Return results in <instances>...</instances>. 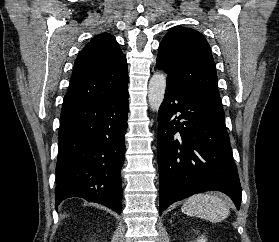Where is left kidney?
<instances>
[{
	"mask_svg": "<svg viewBox=\"0 0 279 242\" xmlns=\"http://www.w3.org/2000/svg\"><path fill=\"white\" fill-rule=\"evenodd\" d=\"M195 242H206V239L202 236L201 239H197Z\"/></svg>",
	"mask_w": 279,
	"mask_h": 242,
	"instance_id": "obj_1",
	"label": "left kidney"
}]
</instances>
